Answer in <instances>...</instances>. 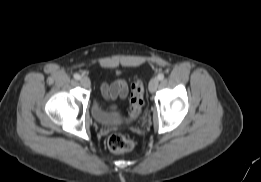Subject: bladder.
Here are the masks:
<instances>
[{"label": "bladder", "mask_w": 261, "mask_h": 182, "mask_svg": "<svg viewBox=\"0 0 261 182\" xmlns=\"http://www.w3.org/2000/svg\"><path fill=\"white\" fill-rule=\"evenodd\" d=\"M92 114L94 119L100 124H113L120 118L118 111H108L102 108L97 98L92 103Z\"/></svg>", "instance_id": "1"}]
</instances>
